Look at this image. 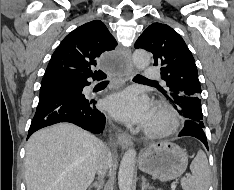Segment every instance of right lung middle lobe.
<instances>
[{
    "label": "right lung middle lobe",
    "instance_id": "obj_1",
    "mask_svg": "<svg viewBox=\"0 0 234 190\" xmlns=\"http://www.w3.org/2000/svg\"><path fill=\"white\" fill-rule=\"evenodd\" d=\"M59 79H48V80H42L41 83V88H40V92L44 91L46 88L50 87L51 85H53L56 81H58Z\"/></svg>",
    "mask_w": 234,
    "mask_h": 190
}]
</instances>
